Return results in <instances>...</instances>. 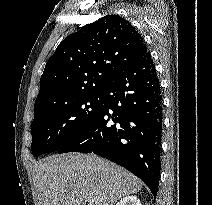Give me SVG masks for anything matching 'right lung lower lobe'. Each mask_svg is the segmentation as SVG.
Returning a JSON list of instances; mask_svg holds the SVG:
<instances>
[{
	"label": "right lung lower lobe",
	"mask_w": 212,
	"mask_h": 205,
	"mask_svg": "<svg viewBox=\"0 0 212 205\" xmlns=\"http://www.w3.org/2000/svg\"><path fill=\"white\" fill-rule=\"evenodd\" d=\"M99 113L57 152L95 153L138 176L154 197L160 178L162 95L150 52L102 91Z\"/></svg>",
	"instance_id": "obj_1"
}]
</instances>
